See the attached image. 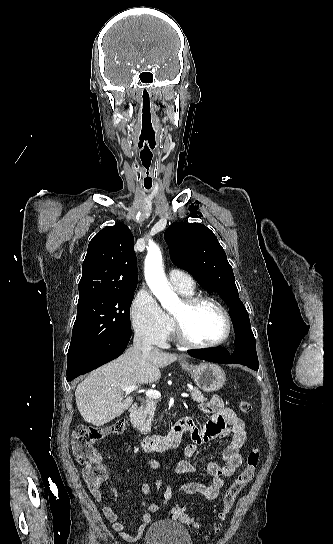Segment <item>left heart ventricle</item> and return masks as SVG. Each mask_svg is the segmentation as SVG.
Masks as SVG:
<instances>
[{
  "label": "left heart ventricle",
  "mask_w": 333,
  "mask_h": 544,
  "mask_svg": "<svg viewBox=\"0 0 333 544\" xmlns=\"http://www.w3.org/2000/svg\"><path fill=\"white\" fill-rule=\"evenodd\" d=\"M173 315L181 319L190 338L198 343L217 341L225 333L224 317L212 303H203L193 311H187L181 303Z\"/></svg>",
  "instance_id": "left-heart-ventricle-1"
}]
</instances>
